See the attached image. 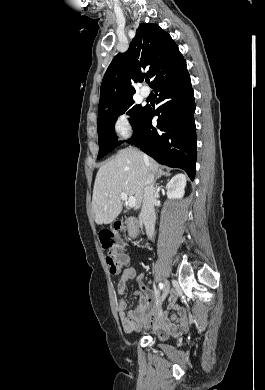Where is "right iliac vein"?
I'll return each instance as SVG.
<instances>
[{"label":"right iliac vein","instance_id":"obj_1","mask_svg":"<svg viewBox=\"0 0 265 390\" xmlns=\"http://www.w3.org/2000/svg\"><path fill=\"white\" fill-rule=\"evenodd\" d=\"M169 291H170V283H169V281L166 280L164 282V287H163L162 301H164V299L168 295Z\"/></svg>","mask_w":265,"mask_h":390}]
</instances>
